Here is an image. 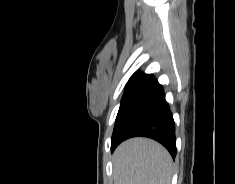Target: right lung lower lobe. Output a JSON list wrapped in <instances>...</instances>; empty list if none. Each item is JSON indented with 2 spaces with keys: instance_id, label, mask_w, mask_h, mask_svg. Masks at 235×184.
Returning <instances> with one entry per match:
<instances>
[{
  "instance_id": "98d812e1",
  "label": "right lung lower lobe",
  "mask_w": 235,
  "mask_h": 184,
  "mask_svg": "<svg viewBox=\"0 0 235 184\" xmlns=\"http://www.w3.org/2000/svg\"><path fill=\"white\" fill-rule=\"evenodd\" d=\"M135 136L158 141L175 158V123L163 87L153 75H146L125 91L113 130L111 151L122 141Z\"/></svg>"
}]
</instances>
